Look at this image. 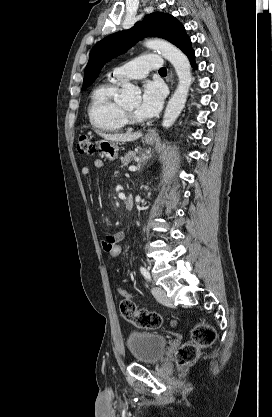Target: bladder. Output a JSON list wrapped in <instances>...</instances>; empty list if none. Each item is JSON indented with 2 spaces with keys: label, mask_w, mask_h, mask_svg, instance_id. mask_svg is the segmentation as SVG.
Returning <instances> with one entry per match:
<instances>
[{
  "label": "bladder",
  "mask_w": 272,
  "mask_h": 417,
  "mask_svg": "<svg viewBox=\"0 0 272 417\" xmlns=\"http://www.w3.org/2000/svg\"><path fill=\"white\" fill-rule=\"evenodd\" d=\"M126 344L136 362L156 363L165 353L167 339L160 334L132 332L128 335Z\"/></svg>",
  "instance_id": "31cf9c89"
}]
</instances>
